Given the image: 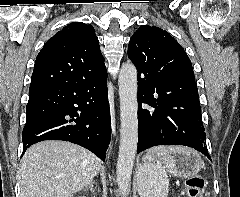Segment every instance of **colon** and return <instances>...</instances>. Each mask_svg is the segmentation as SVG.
Masks as SVG:
<instances>
[{"label": "colon", "instance_id": "1", "mask_svg": "<svg viewBox=\"0 0 240 197\" xmlns=\"http://www.w3.org/2000/svg\"><path fill=\"white\" fill-rule=\"evenodd\" d=\"M205 186L204 177L200 174H194L186 180V190L188 197H203Z\"/></svg>", "mask_w": 240, "mask_h": 197}]
</instances>
